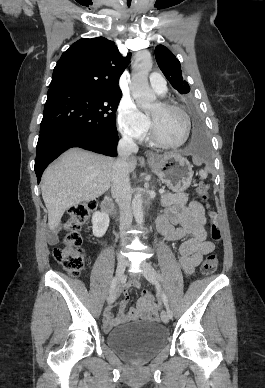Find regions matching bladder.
I'll return each mask as SVG.
<instances>
[{"mask_svg":"<svg viewBox=\"0 0 265 388\" xmlns=\"http://www.w3.org/2000/svg\"><path fill=\"white\" fill-rule=\"evenodd\" d=\"M164 326L156 321L122 325L107 334L106 344L133 361H144L167 342Z\"/></svg>","mask_w":265,"mask_h":388,"instance_id":"1","label":"bladder"}]
</instances>
